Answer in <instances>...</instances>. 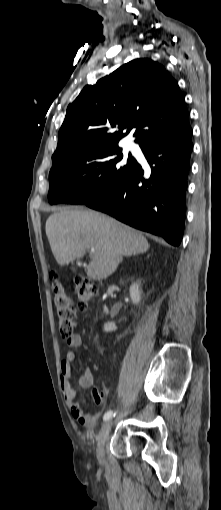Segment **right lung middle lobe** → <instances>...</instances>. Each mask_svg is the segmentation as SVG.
<instances>
[{
    "label": "right lung middle lobe",
    "mask_w": 221,
    "mask_h": 510,
    "mask_svg": "<svg viewBox=\"0 0 221 510\" xmlns=\"http://www.w3.org/2000/svg\"><path fill=\"white\" fill-rule=\"evenodd\" d=\"M138 166L117 145H104L69 154L49 174L50 204H85L125 181Z\"/></svg>",
    "instance_id": "1"
}]
</instances>
